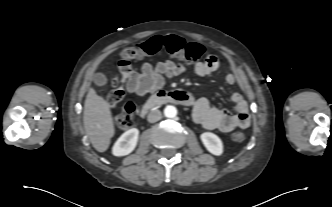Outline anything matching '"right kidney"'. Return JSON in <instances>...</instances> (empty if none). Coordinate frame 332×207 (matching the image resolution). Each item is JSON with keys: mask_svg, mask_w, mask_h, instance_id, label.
<instances>
[{"mask_svg": "<svg viewBox=\"0 0 332 207\" xmlns=\"http://www.w3.org/2000/svg\"><path fill=\"white\" fill-rule=\"evenodd\" d=\"M139 130L132 128L123 133L115 142L112 148V154L117 157L130 154L138 142Z\"/></svg>", "mask_w": 332, "mask_h": 207, "instance_id": "ca27d5eb", "label": "right kidney"}]
</instances>
